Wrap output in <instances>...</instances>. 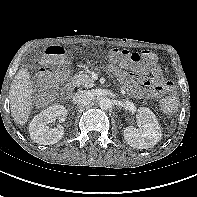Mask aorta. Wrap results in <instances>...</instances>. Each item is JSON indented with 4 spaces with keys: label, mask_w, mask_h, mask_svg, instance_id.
<instances>
[{
    "label": "aorta",
    "mask_w": 197,
    "mask_h": 197,
    "mask_svg": "<svg viewBox=\"0 0 197 197\" xmlns=\"http://www.w3.org/2000/svg\"><path fill=\"white\" fill-rule=\"evenodd\" d=\"M98 104L102 110H108L112 106V101L107 97H102V98H100Z\"/></svg>",
    "instance_id": "1"
}]
</instances>
